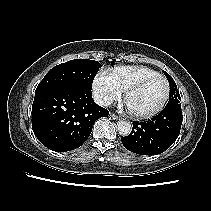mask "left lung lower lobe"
I'll list each match as a JSON object with an SVG mask.
<instances>
[{
  "label": "left lung lower lobe",
  "mask_w": 211,
  "mask_h": 211,
  "mask_svg": "<svg viewBox=\"0 0 211 211\" xmlns=\"http://www.w3.org/2000/svg\"><path fill=\"white\" fill-rule=\"evenodd\" d=\"M182 124L181 104L166 106L158 115L143 122H133L131 133L122 137L126 149L141 155H157L177 139Z\"/></svg>",
  "instance_id": "0a47b994"
}]
</instances>
